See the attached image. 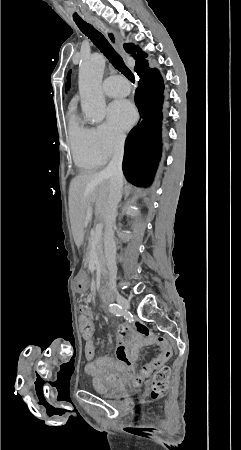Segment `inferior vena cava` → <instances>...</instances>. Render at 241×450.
<instances>
[{
  "instance_id": "602c4592",
  "label": "inferior vena cava",
  "mask_w": 241,
  "mask_h": 450,
  "mask_svg": "<svg viewBox=\"0 0 241 450\" xmlns=\"http://www.w3.org/2000/svg\"><path fill=\"white\" fill-rule=\"evenodd\" d=\"M126 136L118 138L115 146L114 156L107 168L103 170L105 176H110V190L108 200L109 222H106L104 234V254L109 272V286L116 290V244L114 242V224L117 216V206L122 198L123 172L122 162L124 156V144Z\"/></svg>"
}]
</instances>
